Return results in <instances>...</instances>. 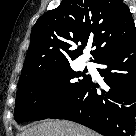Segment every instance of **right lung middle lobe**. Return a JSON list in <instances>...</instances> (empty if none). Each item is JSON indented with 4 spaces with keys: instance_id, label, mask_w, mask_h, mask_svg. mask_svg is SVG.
<instances>
[{
    "instance_id": "right-lung-middle-lobe-1",
    "label": "right lung middle lobe",
    "mask_w": 136,
    "mask_h": 136,
    "mask_svg": "<svg viewBox=\"0 0 136 136\" xmlns=\"http://www.w3.org/2000/svg\"><path fill=\"white\" fill-rule=\"evenodd\" d=\"M70 64L34 72L19 80L14 117L17 122L43 120L70 101L90 79ZM82 79H76L77 77Z\"/></svg>"
}]
</instances>
